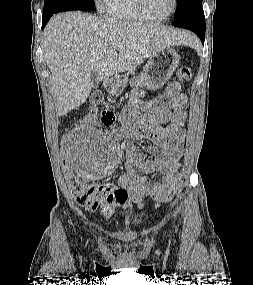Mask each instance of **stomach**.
<instances>
[{
    "label": "stomach",
    "mask_w": 253,
    "mask_h": 285,
    "mask_svg": "<svg viewBox=\"0 0 253 285\" xmlns=\"http://www.w3.org/2000/svg\"><path fill=\"white\" fill-rule=\"evenodd\" d=\"M179 59L178 53L169 46L160 48L149 58L142 75L133 78L130 85L138 87L141 84H146L150 89L162 87L177 69ZM108 92L111 95L118 93L115 84L108 87Z\"/></svg>",
    "instance_id": "stomach-1"
}]
</instances>
